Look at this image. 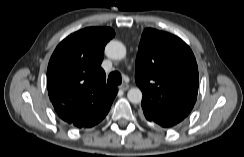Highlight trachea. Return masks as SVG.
Segmentation results:
<instances>
[{
    "label": "trachea",
    "mask_w": 244,
    "mask_h": 157,
    "mask_svg": "<svg viewBox=\"0 0 244 157\" xmlns=\"http://www.w3.org/2000/svg\"><path fill=\"white\" fill-rule=\"evenodd\" d=\"M107 82L111 85H120L122 83L121 74L118 71L111 72Z\"/></svg>",
    "instance_id": "1"
}]
</instances>
